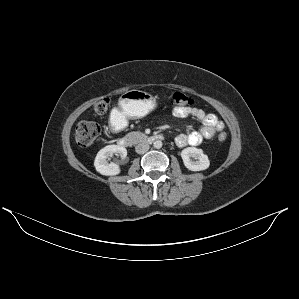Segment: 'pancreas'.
<instances>
[{
	"instance_id": "1",
	"label": "pancreas",
	"mask_w": 299,
	"mask_h": 299,
	"mask_svg": "<svg viewBox=\"0 0 299 299\" xmlns=\"http://www.w3.org/2000/svg\"><path fill=\"white\" fill-rule=\"evenodd\" d=\"M129 136L135 138L136 141H141V140L146 138V135L142 132H139V131L131 132V133H129Z\"/></svg>"
}]
</instances>
